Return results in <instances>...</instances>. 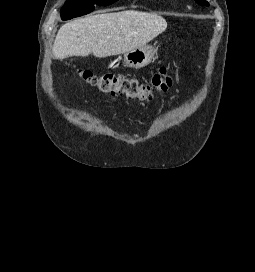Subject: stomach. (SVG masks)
<instances>
[{
  "label": "stomach",
  "mask_w": 255,
  "mask_h": 272,
  "mask_svg": "<svg viewBox=\"0 0 255 272\" xmlns=\"http://www.w3.org/2000/svg\"><path fill=\"white\" fill-rule=\"evenodd\" d=\"M158 48L144 45L124 54L123 63L127 67L139 69L147 66L154 59Z\"/></svg>",
  "instance_id": "obj_1"
}]
</instances>
